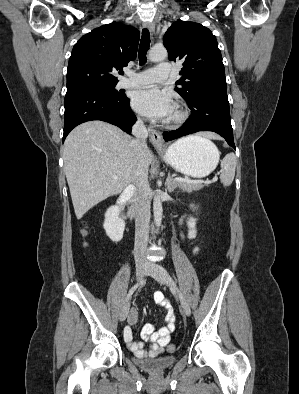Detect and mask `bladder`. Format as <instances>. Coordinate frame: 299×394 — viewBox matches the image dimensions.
<instances>
[{"label": "bladder", "instance_id": "1", "mask_svg": "<svg viewBox=\"0 0 299 394\" xmlns=\"http://www.w3.org/2000/svg\"><path fill=\"white\" fill-rule=\"evenodd\" d=\"M175 361L176 355L174 354L147 359L138 357L134 359V362L138 367L152 374L161 373L167 370L174 365Z\"/></svg>", "mask_w": 299, "mask_h": 394}]
</instances>
